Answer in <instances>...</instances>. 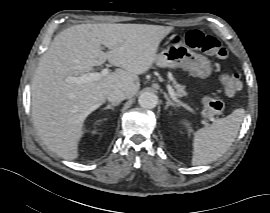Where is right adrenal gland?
I'll return each instance as SVG.
<instances>
[{
    "instance_id": "right-adrenal-gland-1",
    "label": "right adrenal gland",
    "mask_w": 270,
    "mask_h": 213,
    "mask_svg": "<svg viewBox=\"0 0 270 213\" xmlns=\"http://www.w3.org/2000/svg\"><path fill=\"white\" fill-rule=\"evenodd\" d=\"M118 105H119L118 103H116V104H109L105 108H103V110H108V109L114 110V107L115 106H118Z\"/></svg>"
}]
</instances>
